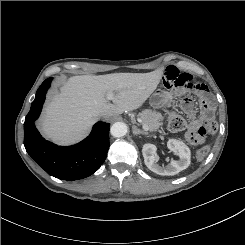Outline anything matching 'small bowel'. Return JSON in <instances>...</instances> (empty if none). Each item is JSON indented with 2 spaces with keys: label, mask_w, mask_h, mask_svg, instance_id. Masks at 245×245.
Listing matches in <instances>:
<instances>
[{
  "label": "small bowel",
  "mask_w": 245,
  "mask_h": 245,
  "mask_svg": "<svg viewBox=\"0 0 245 245\" xmlns=\"http://www.w3.org/2000/svg\"><path fill=\"white\" fill-rule=\"evenodd\" d=\"M166 82L170 86H185L192 89L191 96H194L195 98H200L202 95L207 93L206 88L197 83L192 75H189L187 73H181L179 70H177L175 67H169L168 70L165 73ZM190 100V98H189ZM185 111L189 114L192 113L193 107L189 101L185 102L184 104ZM213 114V109L209 105H204L202 110V118H193L190 122V129L195 130L197 129L202 120L211 116Z\"/></svg>",
  "instance_id": "c3829d8e"
}]
</instances>
